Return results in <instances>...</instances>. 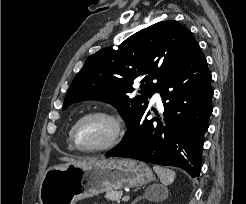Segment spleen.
Listing matches in <instances>:
<instances>
[{
  "label": "spleen",
  "mask_w": 246,
  "mask_h": 204,
  "mask_svg": "<svg viewBox=\"0 0 246 204\" xmlns=\"http://www.w3.org/2000/svg\"><path fill=\"white\" fill-rule=\"evenodd\" d=\"M154 171L157 173L161 183L165 186L170 185L173 183L176 173L175 171L166 168V167H161L159 165H154L153 166Z\"/></svg>",
  "instance_id": "3e777b00"
}]
</instances>
